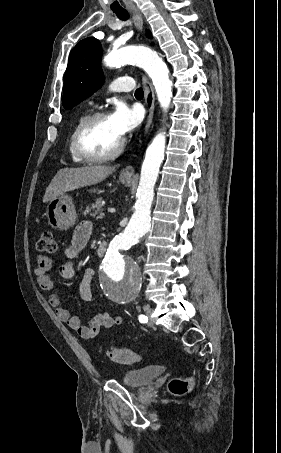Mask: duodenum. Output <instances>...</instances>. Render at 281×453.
<instances>
[{
    "label": "duodenum",
    "mask_w": 281,
    "mask_h": 453,
    "mask_svg": "<svg viewBox=\"0 0 281 453\" xmlns=\"http://www.w3.org/2000/svg\"><path fill=\"white\" fill-rule=\"evenodd\" d=\"M106 249H107V244L106 242L104 241H101L98 246H97V249H96V253L99 257H102L104 256L105 252H106Z\"/></svg>",
    "instance_id": "duodenum-1"
}]
</instances>
